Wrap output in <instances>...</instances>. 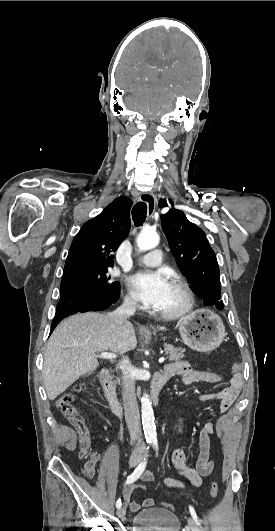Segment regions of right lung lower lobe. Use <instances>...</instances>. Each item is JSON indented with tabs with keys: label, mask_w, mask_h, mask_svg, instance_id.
<instances>
[{
	"label": "right lung lower lobe",
	"mask_w": 275,
	"mask_h": 531,
	"mask_svg": "<svg viewBox=\"0 0 275 531\" xmlns=\"http://www.w3.org/2000/svg\"><path fill=\"white\" fill-rule=\"evenodd\" d=\"M120 296V291L110 298L100 297L90 290L83 288H68L61 290V297L57 305V311L51 324V331L58 322L78 312L102 311L115 303Z\"/></svg>",
	"instance_id": "98d812e1"
}]
</instances>
